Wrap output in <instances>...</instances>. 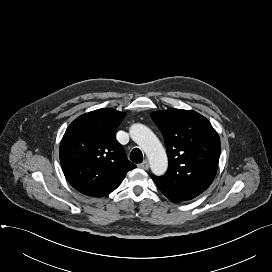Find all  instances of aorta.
Returning <instances> with one entry per match:
<instances>
[{"mask_svg":"<svg viewBox=\"0 0 272 272\" xmlns=\"http://www.w3.org/2000/svg\"><path fill=\"white\" fill-rule=\"evenodd\" d=\"M130 136L145 152L151 170L156 175H163L168 166L166 152L156 135L143 124H133Z\"/></svg>","mask_w":272,"mask_h":272,"instance_id":"1","label":"aorta"}]
</instances>
